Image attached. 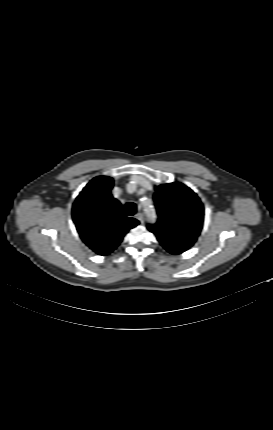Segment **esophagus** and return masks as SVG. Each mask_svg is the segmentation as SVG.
Listing matches in <instances>:
<instances>
[{
    "label": "esophagus",
    "instance_id": "1",
    "mask_svg": "<svg viewBox=\"0 0 273 430\" xmlns=\"http://www.w3.org/2000/svg\"><path fill=\"white\" fill-rule=\"evenodd\" d=\"M141 223H144V215L142 213H137L135 216Z\"/></svg>",
    "mask_w": 273,
    "mask_h": 430
}]
</instances>
